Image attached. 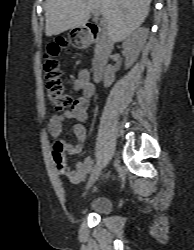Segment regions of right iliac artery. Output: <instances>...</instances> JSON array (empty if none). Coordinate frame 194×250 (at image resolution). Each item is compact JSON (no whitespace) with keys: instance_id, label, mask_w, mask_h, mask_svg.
<instances>
[{"instance_id":"obj_1","label":"right iliac artery","mask_w":194,"mask_h":250,"mask_svg":"<svg viewBox=\"0 0 194 250\" xmlns=\"http://www.w3.org/2000/svg\"><path fill=\"white\" fill-rule=\"evenodd\" d=\"M95 166H96V165H95ZM95 166H94V168H95ZM94 168H90L89 173H92L93 170H94Z\"/></svg>"}]
</instances>
